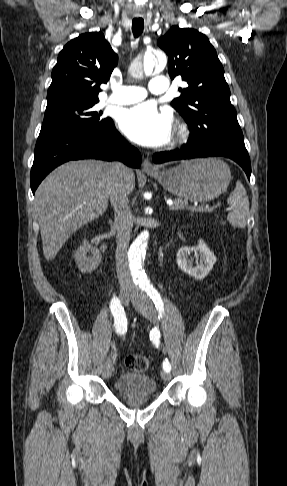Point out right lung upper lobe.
Instances as JSON below:
<instances>
[{
	"label": "right lung upper lobe",
	"mask_w": 287,
	"mask_h": 486,
	"mask_svg": "<svg viewBox=\"0 0 287 486\" xmlns=\"http://www.w3.org/2000/svg\"><path fill=\"white\" fill-rule=\"evenodd\" d=\"M117 54L102 32L85 33L68 42L58 55L47 93V107L98 99L117 65Z\"/></svg>",
	"instance_id": "obj_1"
}]
</instances>
